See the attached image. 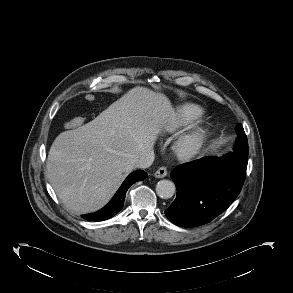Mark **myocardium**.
Wrapping results in <instances>:
<instances>
[{"mask_svg": "<svg viewBox=\"0 0 293 293\" xmlns=\"http://www.w3.org/2000/svg\"><path fill=\"white\" fill-rule=\"evenodd\" d=\"M206 134V128L200 125L182 134L173 144L175 155L181 160H190L195 157L205 142Z\"/></svg>", "mask_w": 293, "mask_h": 293, "instance_id": "myocardium-1", "label": "myocardium"}]
</instances>
